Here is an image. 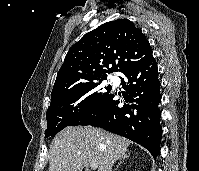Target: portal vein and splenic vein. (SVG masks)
Returning a JSON list of instances; mask_svg holds the SVG:
<instances>
[{
	"label": "portal vein and splenic vein",
	"mask_w": 199,
	"mask_h": 171,
	"mask_svg": "<svg viewBox=\"0 0 199 171\" xmlns=\"http://www.w3.org/2000/svg\"><path fill=\"white\" fill-rule=\"evenodd\" d=\"M90 168L95 170L97 168V165L95 163H90Z\"/></svg>",
	"instance_id": "1"
}]
</instances>
